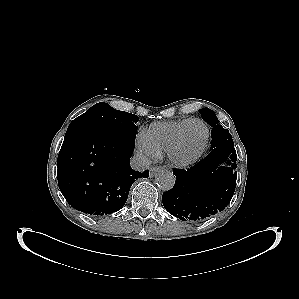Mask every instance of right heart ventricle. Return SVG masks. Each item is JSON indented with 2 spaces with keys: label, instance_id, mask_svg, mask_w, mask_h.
Wrapping results in <instances>:
<instances>
[{
  "label": "right heart ventricle",
  "instance_id": "e07e8e85",
  "mask_svg": "<svg viewBox=\"0 0 299 299\" xmlns=\"http://www.w3.org/2000/svg\"><path fill=\"white\" fill-rule=\"evenodd\" d=\"M188 120L189 119H183L153 123L146 129L142 136L152 149L158 154H161L166 151L178 130Z\"/></svg>",
  "mask_w": 299,
  "mask_h": 299
}]
</instances>
